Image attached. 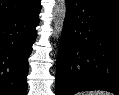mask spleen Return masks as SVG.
I'll list each match as a JSON object with an SVG mask.
<instances>
[{
  "mask_svg": "<svg viewBox=\"0 0 119 95\" xmlns=\"http://www.w3.org/2000/svg\"><path fill=\"white\" fill-rule=\"evenodd\" d=\"M78 95H111L109 92L105 91H90V92H82Z\"/></svg>",
  "mask_w": 119,
  "mask_h": 95,
  "instance_id": "1",
  "label": "spleen"
}]
</instances>
